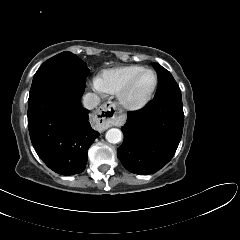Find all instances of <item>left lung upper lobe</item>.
<instances>
[{
  "label": "left lung upper lobe",
  "mask_w": 240,
  "mask_h": 240,
  "mask_svg": "<svg viewBox=\"0 0 240 240\" xmlns=\"http://www.w3.org/2000/svg\"><path fill=\"white\" fill-rule=\"evenodd\" d=\"M153 66L156 69L159 77V85L155 97L166 95L181 96L179 87L171 73L158 63H153Z\"/></svg>",
  "instance_id": "left-lung-upper-lobe-1"
}]
</instances>
